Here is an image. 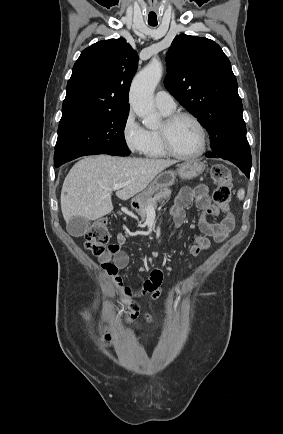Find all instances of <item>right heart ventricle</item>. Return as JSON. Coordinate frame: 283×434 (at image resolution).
<instances>
[{
  "label": "right heart ventricle",
  "mask_w": 283,
  "mask_h": 434,
  "mask_svg": "<svg viewBox=\"0 0 283 434\" xmlns=\"http://www.w3.org/2000/svg\"><path fill=\"white\" fill-rule=\"evenodd\" d=\"M163 116H168L172 112L160 110ZM148 139L143 154L148 158H163L167 154L164 151L158 129L147 130Z\"/></svg>",
  "instance_id": "1"
}]
</instances>
